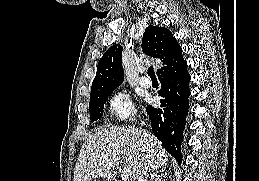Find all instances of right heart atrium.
Segmentation results:
<instances>
[{
  "instance_id": "1",
  "label": "right heart atrium",
  "mask_w": 259,
  "mask_h": 181,
  "mask_svg": "<svg viewBox=\"0 0 259 181\" xmlns=\"http://www.w3.org/2000/svg\"><path fill=\"white\" fill-rule=\"evenodd\" d=\"M135 107L130 95L124 91L113 93L107 101L109 117L117 121H126L135 114Z\"/></svg>"
}]
</instances>
